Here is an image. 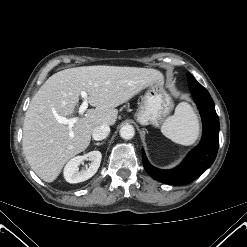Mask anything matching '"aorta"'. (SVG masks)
<instances>
[{"instance_id": "762f6f07", "label": "aorta", "mask_w": 247, "mask_h": 247, "mask_svg": "<svg viewBox=\"0 0 247 247\" xmlns=\"http://www.w3.org/2000/svg\"><path fill=\"white\" fill-rule=\"evenodd\" d=\"M134 134L135 130L132 125H124L120 129V136L125 140L133 138Z\"/></svg>"}]
</instances>
